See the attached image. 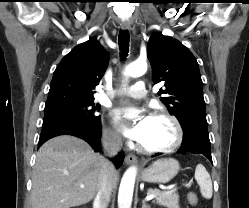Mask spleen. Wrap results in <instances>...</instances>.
Here are the masks:
<instances>
[{
	"label": "spleen",
	"instance_id": "spleen-1",
	"mask_svg": "<svg viewBox=\"0 0 249 208\" xmlns=\"http://www.w3.org/2000/svg\"><path fill=\"white\" fill-rule=\"evenodd\" d=\"M195 179L200 186V192L202 196L206 199L212 197V181L209 173L202 164H198L195 169Z\"/></svg>",
	"mask_w": 249,
	"mask_h": 208
}]
</instances>
